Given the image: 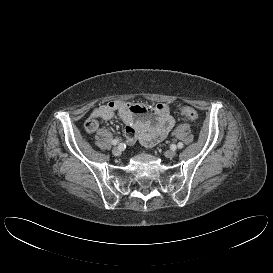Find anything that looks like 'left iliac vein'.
I'll return each instance as SVG.
<instances>
[{"instance_id": "obj_1", "label": "left iliac vein", "mask_w": 273, "mask_h": 273, "mask_svg": "<svg viewBox=\"0 0 273 273\" xmlns=\"http://www.w3.org/2000/svg\"><path fill=\"white\" fill-rule=\"evenodd\" d=\"M176 155V151L175 150H169L165 152V156L167 158H173Z\"/></svg>"}]
</instances>
